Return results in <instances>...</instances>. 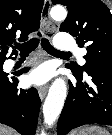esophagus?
Here are the masks:
<instances>
[{"instance_id": "obj_1", "label": "esophagus", "mask_w": 112, "mask_h": 135, "mask_svg": "<svg viewBox=\"0 0 112 135\" xmlns=\"http://www.w3.org/2000/svg\"><path fill=\"white\" fill-rule=\"evenodd\" d=\"M50 6H51V1L46 0L45 6L42 11V16H41V29L44 31V33L46 34L48 38L51 37V34L54 31H56L58 27L57 24L53 22L52 19L50 18V14H49ZM47 90H48L47 85H44L38 88V93L41 100L45 98L47 94Z\"/></svg>"}]
</instances>
